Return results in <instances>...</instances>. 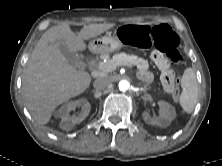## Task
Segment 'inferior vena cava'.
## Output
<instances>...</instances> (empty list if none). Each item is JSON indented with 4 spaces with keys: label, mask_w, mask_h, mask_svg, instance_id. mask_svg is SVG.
Instances as JSON below:
<instances>
[{
    "label": "inferior vena cava",
    "mask_w": 222,
    "mask_h": 166,
    "mask_svg": "<svg viewBox=\"0 0 222 166\" xmlns=\"http://www.w3.org/2000/svg\"><path fill=\"white\" fill-rule=\"evenodd\" d=\"M111 84H112V80L110 78L102 77V78H97L94 81L93 86L94 88L98 90H104V89H107Z\"/></svg>",
    "instance_id": "inferior-vena-cava-1"
}]
</instances>
